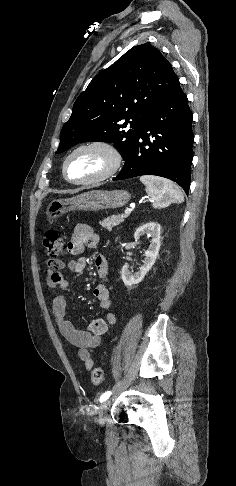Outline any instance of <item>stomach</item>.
Returning a JSON list of instances; mask_svg holds the SVG:
<instances>
[{"instance_id": "0dacf381", "label": "stomach", "mask_w": 236, "mask_h": 486, "mask_svg": "<svg viewBox=\"0 0 236 486\" xmlns=\"http://www.w3.org/2000/svg\"><path fill=\"white\" fill-rule=\"evenodd\" d=\"M131 195L125 190H92L70 199H55L46 207V217L53 222L67 212L99 211L104 209H115L126 205Z\"/></svg>"}]
</instances>
